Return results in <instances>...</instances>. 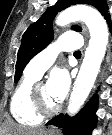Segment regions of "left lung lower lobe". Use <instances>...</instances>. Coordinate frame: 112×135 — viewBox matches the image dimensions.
<instances>
[{
    "mask_svg": "<svg viewBox=\"0 0 112 135\" xmlns=\"http://www.w3.org/2000/svg\"><path fill=\"white\" fill-rule=\"evenodd\" d=\"M107 22L111 26L110 19H107ZM97 106L98 99L95 95L76 116L70 118L67 115L63 117V114H59L51 119L47 125L63 128L66 135H91L97 122Z\"/></svg>",
    "mask_w": 112,
    "mask_h": 135,
    "instance_id": "0a47b994",
    "label": "left lung lower lobe"
}]
</instances>
